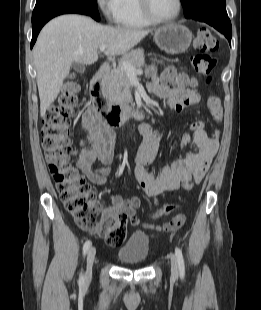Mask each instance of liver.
<instances>
[{
  "mask_svg": "<svg viewBox=\"0 0 261 310\" xmlns=\"http://www.w3.org/2000/svg\"><path fill=\"white\" fill-rule=\"evenodd\" d=\"M148 33L147 30L104 26L76 14L62 15L47 23L34 47L41 117L57 98L73 62L95 63L101 44H107L104 50L107 56L125 55Z\"/></svg>",
  "mask_w": 261,
  "mask_h": 310,
  "instance_id": "obj_1",
  "label": "liver"
}]
</instances>
